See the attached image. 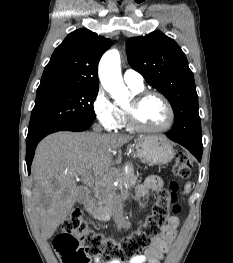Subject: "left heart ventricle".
Returning <instances> with one entry per match:
<instances>
[{
  "mask_svg": "<svg viewBox=\"0 0 233 263\" xmlns=\"http://www.w3.org/2000/svg\"><path fill=\"white\" fill-rule=\"evenodd\" d=\"M137 119L147 127H160L168 120L164 103L156 96L145 98L137 110Z\"/></svg>",
  "mask_w": 233,
  "mask_h": 263,
  "instance_id": "1",
  "label": "left heart ventricle"
}]
</instances>
